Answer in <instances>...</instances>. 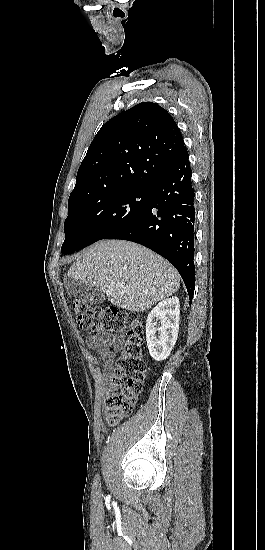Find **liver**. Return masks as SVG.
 Wrapping results in <instances>:
<instances>
[{
    "instance_id": "1",
    "label": "liver",
    "mask_w": 265,
    "mask_h": 550,
    "mask_svg": "<svg viewBox=\"0 0 265 550\" xmlns=\"http://www.w3.org/2000/svg\"><path fill=\"white\" fill-rule=\"evenodd\" d=\"M68 277L97 287L113 305L133 312L150 309L180 286V275L168 261L124 240H101L85 248Z\"/></svg>"
}]
</instances>
